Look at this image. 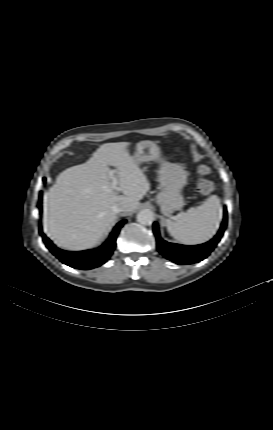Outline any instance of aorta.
<instances>
[{"label": "aorta", "instance_id": "aorta-1", "mask_svg": "<svg viewBox=\"0 0 273 430\" xmlns=\"http://www.w3.org/2000/svg\"><path fill=\"white\" fill-rule=\"evenodd\" d=\"M153 221L154 213L149 209L142 210L137 214V222L142 225H151Z\"/></svg>", "mask_w": 273, "mask_h": 430}]
</instances>
